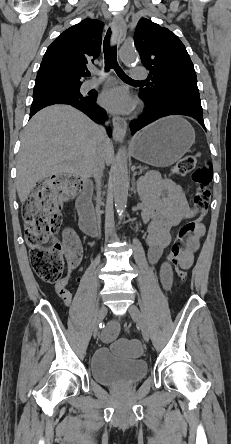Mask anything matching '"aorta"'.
Segmentation results:
<instances>
[{
	"mask_svg": "<svg viewBox=\"0 0 231 444\" xmlns=\"http://www.w3.org/2000/svg\"><path fill=\"white\" fill-rule=\"evenodd\" d=\"M122 61L131 64L137 61L138 56L134 49L123 48L120 52ZM113 196L115 207L120 218L123 217L127 207L129 175L127 166V155L124 148L120 149L113 167Z\"/></svg>",
	"mask_w": 231,
	"mask_h": 444,
	"instance_id": "762f6f07",
	"label": "aorta"
}]
</instances>
